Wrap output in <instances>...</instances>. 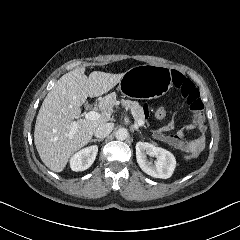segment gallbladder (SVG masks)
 <instances>
[{
    "instance_id": "gallbladder-1",
    "label": "gallbladder",
    "mask_w": 240,
    "mask_h": 240,
    "mask_svg": "<svg viewBox=\"0 0 240 240\" xmlns=\"http://www.w3.org/2000/svg\"><path fill=\"white\" fill-rule=\"evenodd\" d=\"M91 104L90 103H85L84 104V106H83V111L85 112V113H88L89 111H90V109H91Z\"/></svg>"
}]
</instances>
